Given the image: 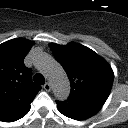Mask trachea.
<instances>
[{"mask_svg":"<svg viewBox=\"0 0 128 128\" xmlns=\"http://www.w3.org/2000/svg\"><path fill=\"white\" fill-rule=\"evenodd\" d=\"M33 79L37 85H43L45 83V78L39 73L35 74Z\"/></svg>","mask_w":128,"mask_h":128,"instance_id":"1","label":"trachea"}]
</instances>
